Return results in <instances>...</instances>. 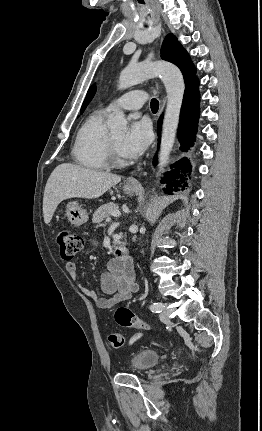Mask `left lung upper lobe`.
I'll return each mask as SVG.
<instances>
[{
  "label": "left lung upper lobe",
  "mask_w": 262,
  "mask_h": 431,
  "mask_svg": "<svg viewBox=\"0 0 262 431\" xmlns=\"http://www.w3.org/2000/svg\"><path fill=\"white\" fill-rule=\"evenodd\" d=\"M161 57L166 61L176 64L181 69L186 85L198 80L195 76L196 69L189 55L175 36L171 34L167 35L161 48Z\"/></svg>",
  "instance_id": "obj_1"
}]
</instances>
